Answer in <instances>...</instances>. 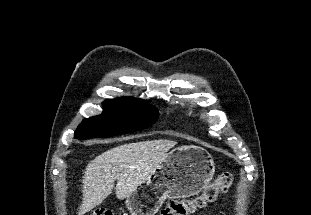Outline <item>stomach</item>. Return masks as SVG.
Wrapping results in <instances>:
<instances>
[{
  "label": "stomach",
  "mask_w": 311,
  "mask_h": 215,
  "mask_svg": "<svg viewBox=\"0 0 311 215\" xmlns=\"http://www.w3.org/2000/svg\"><path fill=\"white\" fill-rule=\"evenodd\" d=\"M214 161L207 150L195 145L177 147L126 199L131 215H154L167 198L198 194L211 181Z\"/></svg>",
  "instance_id": "obj_1"
}]
</instances>
